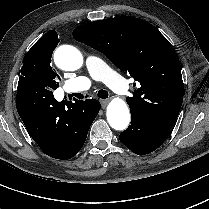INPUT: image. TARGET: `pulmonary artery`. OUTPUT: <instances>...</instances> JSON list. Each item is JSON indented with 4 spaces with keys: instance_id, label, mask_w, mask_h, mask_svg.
Here are the masks:
<instances>
[{
    "instance_id": "e3ab8cb5",
    "label": "pulmonary artery",
    "mask_w": 209,
    "mask_h": 209,
    "mask_svg": "<svg viewBox=\"0 0 209 209\" xmlns=\"http://www.w3.org/2000/svg\"><path fill=\"white\" fill-rule=\"evenodd\" d=\"M93 81L106 82L118 95L126 89L125 83L101 57L87 54L86 74L68 81L65 84V90L67 92H82L88 90Z\"/></svg>"
}]
</instances>
